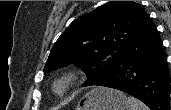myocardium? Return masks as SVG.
Listing matches in <instances>:
<instances>
[{
	"label": "myocardium",
	"mask_w": 171,
	"mask_h": 110,
	"mask_svg": "<svg viewBox=\"0 0 171 110\" xmlns=\"http://www.w3.org/2000/svg\"><path fill=\"white\" fill-rule=\"evenodd\" d=\"M82 81V74L77 70H69L57 75L51 83V91L59 97L67 95Z\"/></svg>",
	"instance_id": "f54148a6"
}]
</instances>
